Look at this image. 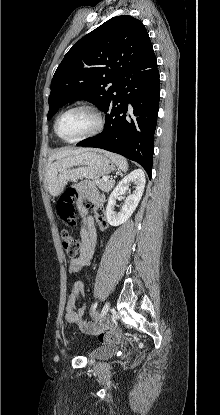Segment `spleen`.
Listing matches in <instances>:
<instances>
[{
    "mask_svg": "<svg viewBox=\"0 0 220 415\" xmlns=\"http://www.w3.org/2000/svg\"><path fill=\"white\" fill-rule=\"evenodd\" d=\"M105 156L110 158L122 171L128 170V163L127 160L122 157L121 155L111 153V152H104Z\"/></svg>",
    "mask_w": 220,
    "mask_h": 415,
    "instance_id": "spleen-1",
    "label": "spleen"
}]
</instances>
